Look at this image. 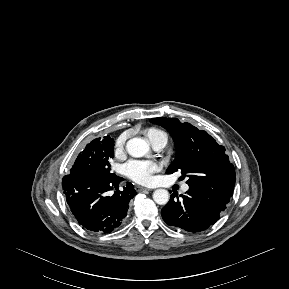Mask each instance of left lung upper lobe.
Returning <instances> with one entry per match:
<instances>
[{
  "mask_svg": "<svg viewBox=\"0 0 289 289\" xmlns=\"http://www.w3.org/2000/svg\"><path fill=\"white\" fill-rule=\"evenodd\" d=\"M152 123L164 127L176 146V158L166 170L172 174L178 170L189 179V187L229 198L235 185V169L225 153V148L205 131L177 118H153Z\"/></svg>",
  "mask_w": 289,
  "mask_h": 289,
  "instance_id": "left-lung-upper-lobe-1",
  "label": "left lung upper lobe"
}]
</instances>
